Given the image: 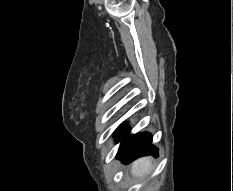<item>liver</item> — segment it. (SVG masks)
<instances>
[{
  "mask_svg": "<svg viewBox=\"0 0 233 191\" xmlns=\"http://www.w3.org/2000/svg\"><path fill=\"white\" fill-rule=\"evenodd\" d=\"M153 168L152 158L143 157L132 163L131 173L137 178H144L152 172Z\"/></svg>",
  "mask_w": 233,
  "mask_h": 191,
  "instance_id": "6515ba94",
  "label": "liver"
}]
</instances>
